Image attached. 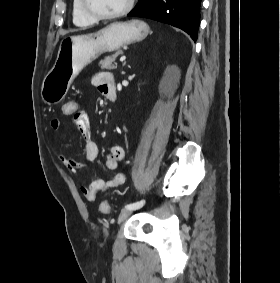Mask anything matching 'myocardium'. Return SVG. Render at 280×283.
Masks as SVG:
<instances>
[{
	"mask_svg": "<svg viewBox=\"0 0 280 283\" xmlns=\"http://www.w3.org/2000/svg\"><path fill=\"white\" fill-rule=\"evenodd\" d=\"M134 3L135 0H128L125 7L118 12L112 14H100L94 11L93 9H91V7L88 4V0H81L82 8L86 13V15H88L89 17H91L96 21L114 20L123 17L132 10Z\"/></svg>",
	"mask_w": 280,
	"mask_h": 283,
	"instance_id": "obj_1",
	"label": "myocardium"
}]
</instances>
